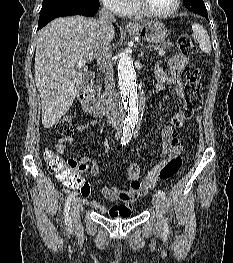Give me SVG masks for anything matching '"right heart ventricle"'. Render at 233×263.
<instances>
[{"label":"right heart ventricle","instance_id":"obj_1","mask_svg":"<svg viewBox=\"0 0 233 263\" xmlns=\"http://www.w3.org/2000/svg\"><path fill=\"white\" fill-rule=\"evenodd\" d=\"M124 15H140L134 4L129 0L126 9L122 12Z\"/></svg>","mask_w":233,"mask_h":263}]
</instances>
